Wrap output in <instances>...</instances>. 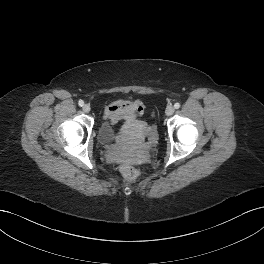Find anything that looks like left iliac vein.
I'll use <instances>...</instances> for the list:
<instances>
[{"label":"left iliac vein","instance_id":"4c4485c4","mask_svg":"<svg viewBox=\"0 0 264 264\" xmlns=\"http://www.w3.org/2000/svg\"><path fill=\"white\" fill-rule=\"evenodd\" d=\"M174 111H175V108L172 105H168L165 110V113L167 116H170L174 113Z\"/></svg>","mask_w":264,"mask_h":264}]
</instances>
